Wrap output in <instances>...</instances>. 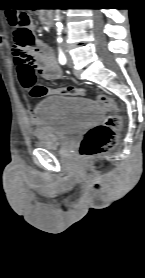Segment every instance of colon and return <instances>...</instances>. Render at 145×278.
<instances>
[{
  "mask_svg": "<svg viewBox=\"0 0 145 278\" xmlns=\"http://www.w3.org/2000/svg\"><path fill=\"white\" fill-rule=\"evenodd\" d=\"M7 20L12 30L14 42L21 48L32 46L34 36L28 13L25 11L10 13ZM22 87L34 98H42L48 95L79 96L84 92L83 88L80 87H48L37 83L33 75L22 79ZM97 100L99 105L109 111L110 114L104 123L90 128L85 133L79 146V155L82 160H89L96 155L111 150L116 145L117 130L123 122L121 108L111 95L99 94Z\"/></svg>",
  "mask_w": 145,
  "mask_h": 278,
  "instance_id": "1",
  "label": "colon"
}]
</instances>
